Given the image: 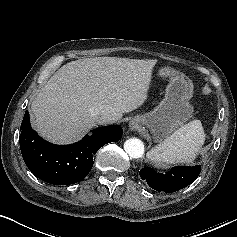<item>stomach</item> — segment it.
<instances>
[{
	"label": "stomach",
	"instance_id": "stomach-1",
	"mask_svg": "<svg viewBox=\"0 0 237 237\" xmlns=\"http://www.w3.org/2000/svg\"><path fill=\"white\" fill-rule=\"evenodd\" d=\"M158 75L170 77L164 99L153 111L136 117L143 128L150 130L157 142L174 133L192 117L194 111L189 103L193 96L192 81L169 66L162 67Z\"/></svg>",
	"mask_w": 237,
	"mask_h": 237
}]
</instances>
